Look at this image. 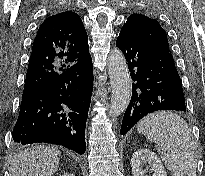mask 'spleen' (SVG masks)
<instances>
[{
    "label": "spleen",
    "instance_id": "obj_1",
    "mask_svg": "<svg viewBox=\"0 0 205 176\" xmlns=\"http://www.w3.org/2000/svg\"><path fill=\"white\" fill-rule=\"evenodd\" d=\"M139 133L157 150L173 176H196L197 145L191 128L178 114L160 111L146 116L137 126Z\"/></svg>",
    "mask_w": 205,
    "mask_h": 176
}]
</instances>
